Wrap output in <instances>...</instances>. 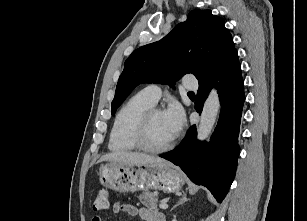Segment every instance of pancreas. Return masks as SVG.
<instances>
[{
    "mask_svg": "<svg viewBox=\"0 0 307 221\" xmlns=\"http://www.w3.org/2000/svg\"><path fill=\"white\" fill-rule=\"evenodd\" d=\"M140 202L147 208L157 209L158 195L156 192L145 191L139 195Z\"/></svg>",
    "mask_w": 307,
    "mask_h": 221,
    "instance_id": "pancreas-1",
    "label": "pancreas"
}]
</instances>
